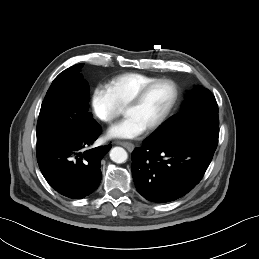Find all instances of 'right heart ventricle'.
I'll use <instances>...</instances> for the list:
<instances>
[{
	"instance_id": "e07e8e85",
	"label": "right heart ventricle",
	"mask_w": 259,
	"mask_h": 259,
	"mask_svg": "<svg viewBox=\"0 0 259 259\" xmlns=\"http://www.w3.org/2000/svg\"><path fill=\"white\" fill-rule=\"evenodd\" d=\"M157 79L141 73H125L111 79L107 84V89L119 107H123L126 102L144 85Z\"/></svg>"
}]
</instances>
